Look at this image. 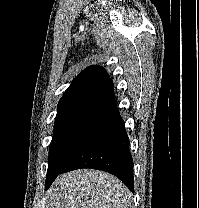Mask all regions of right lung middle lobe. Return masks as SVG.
<instances>
[{
  "instance_id": "right-lung-middle-lobe-1",
  "label": "right lung middle lobe",
  "mask_w": 199,
  "mask_h": 208,
  "mask_svg": "<svg viewBox=\"0 0 199 208\" xmlns=\"http://www.w3.org/2000/svg\"><path fill=\"white\" fill-rule=\"evenodd\" d=\"M99 111V108H85L56 116L46 181L57 174L69 160Z\"/></svg>"
}]
</instances>
